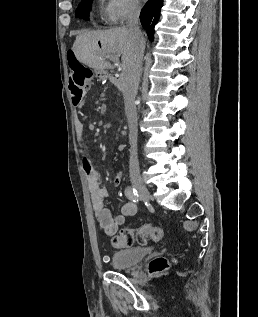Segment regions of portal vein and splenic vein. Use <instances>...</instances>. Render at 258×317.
Masks as SVG:
<instances>
[{
	"instance_id": "1",
	"label": "portal vein and splenic vein",
	"mask_w": 258,
	"mask_h": 317,
	"mask_svg": "<svg viewBox=\"0 0 258 317\" xmlns=\"http://www.w3.org/2000/svg\"><path fill=\"white\" fill-rule=\"evenodd\" d=\"M115 56H119V54H115ZM110 60H112L113 56H109ZM115 64H119L118 60H114Z\"/></svg>"
}]
</instances>
